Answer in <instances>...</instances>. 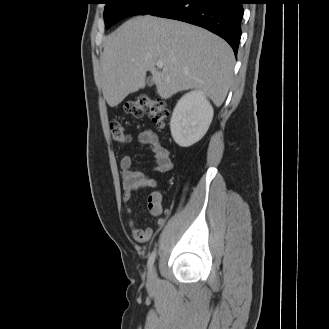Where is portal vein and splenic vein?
<instances>
[{
    "label": "portal vein and splenic vein",
    "instance_id": "1",
    "mask_svg": "<svg viewBox=\"0 0 329 329\" xmlns=\"http://www.w3.org/2000/svg\"><path fill=\"white\" fill-rule=\"evenodd\" d=\"M156 66L162 69L164 67V63L162 61H157Z\"/></svg>",
    "mask_w": 329,
    "mask_h": 329
}]
</instances>
